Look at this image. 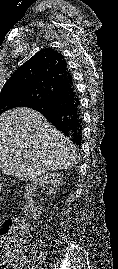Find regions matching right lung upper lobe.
<instances>
[{
    "label": "right lung upper lobe",
    "mask_w": 118,
    "mask_h": 269,
    "mask_svg": "<svg viewBox=\"0 0 118 269\" xmlns=\"http://www.w3.org/2000/svg\"><path fill=\"white\" fill-rule=\"evenodd\" d=\"M71 84L73 80L64 56L52 48H45L11 75L3 86L0 97L24 94L35 96L37 102H40Z\"/></svg>",
    "instance_id": "obj_1"
}]
</instances>
